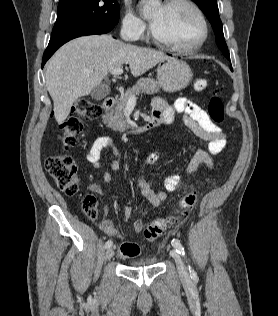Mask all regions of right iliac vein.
I'll return each mask as SVG.
<instances>
[{
	"label": "right iliac vein",
	"instance_id": "1",
	"mask_svg": "<svg viewBox=\"0 0 278 316\" xmlns=\"http://www.w3.org/2000/svg\"><path fill=\"white\" fill-rule=\"evenodd\" d=\"M113 255H114V250L113 248L109 247L105 253V260L109 261L113 257Z\"/></svg>",
	"mask_w": 278,
	"mask_h": 316
}]
</instances>
